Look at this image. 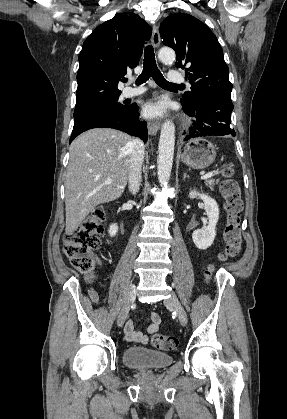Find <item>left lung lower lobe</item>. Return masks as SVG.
Segmentation results:
<instances>
[{
    "label": "left lung lower lobe",
    "instance_id": "1",
    "mask_svg": "<svg viewBox=\"0 0 287 419\" xmlns=\"http://www.w3.org/2000/svg\"><path fill=\"white\" fill-rule=\"evenodd\" d=\"M182 106L186 114L196 119L189 127L185 141L200 137L236 135L230 127L234 108L231 98L205 96L193 106Z\"/></svg>",
    "mask_w": 287,
    "mask_h": 419
}]
</instances>
